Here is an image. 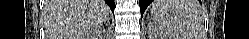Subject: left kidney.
Returning <instances> with one entry per match:
<instances>
[{"label": "left kidney", "instance_id": "1", "mask_svg": "<svg viewBox=\"0 0 249 39\" xmlns=\"http://www.w3.org/2000/svg\"><path fill=\"white\" fill-rule=\"evenodd\" d=\"M159 39H173L170 34H167L165 32H160L157 36Z\"/></svg>", "mask_w": 249, "mask_h": 39}]
</instances>
